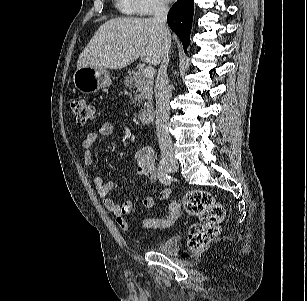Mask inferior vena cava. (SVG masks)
<instances>
[{"label": "inferior vena cava", "instance_id": "602c4592", "mask_svg": "<svg viewBox=\"0 0 307 301\" xmlns=\"http://www.w3.org/2000/svg\"><path fill=\"white\" fill-rule=\"evenodd\" d=\"M169 8L164 2L156 5L154 18L159 23L161 35L163 38V58L158 70V75L155 81V100H156V131L161 153L171 154L173 145L169 133V114H170V98L171 89L168 85L167 66L169 63L170 51V32L166 26V18Z\"/></svg>", "mask_w": 307, "mask_h": 301}]
</instances>
